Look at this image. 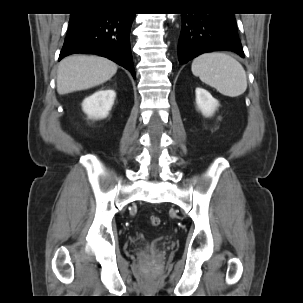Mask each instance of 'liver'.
Here are the masks:
<instances>
[{"label": "liver", "instance_id": "1", "mask_svg": "<svg viewBox=\"0 0 303 303\" xmlns=\"http://www.w3.org/2000/svg\"><path fill=\"white\" fill-rule=\"evenodd\" d=\"M117 65L98 56L73 55L63 59L57 71V92L60 95L88 89L109 80Z\"/></svg>", "mask_w": 303, "mask_h": 303}]
</instances>
